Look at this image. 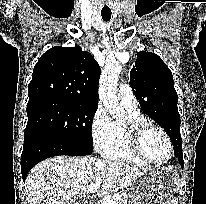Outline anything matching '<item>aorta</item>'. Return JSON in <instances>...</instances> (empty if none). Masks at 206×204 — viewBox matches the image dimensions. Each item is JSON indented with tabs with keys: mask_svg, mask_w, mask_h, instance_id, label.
<instances>
[{
	"mask_svg": "<svg viewBox=\"0 0 206 204\" xmlns=\"http://www.w3.org/2000/svg\"><path fill=\"white\" fill-rule=\"evenodd\" d=\"M120 72V63L110 61L106 63L99 80V99L113 118H120L124 114L116 92Z\"/></svg>",
	"mask_w": 206,
	"mask_h": 204,
	"instance_id": "1",
	"label": "aorta"
}]
</instances>
